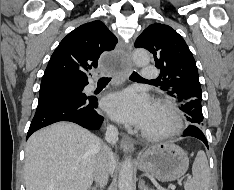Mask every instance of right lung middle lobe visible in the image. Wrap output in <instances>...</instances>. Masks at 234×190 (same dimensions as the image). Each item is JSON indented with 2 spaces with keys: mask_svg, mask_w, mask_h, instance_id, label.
Listing matches in <instances>:
<instances>
[{
  "mask_svg": "<svg viewBox=\"0 0 234 190\" xmlns=\"http://www.w3.org/2000/svg\"><path fill=\"white\" fill-rule=\"evenodd\" d=\"M59 88H75L78 92H82L80 88L71 84L68 80L64 79H49L41 82L39 99L47 93Z\"/></svg>",
  "mask_w": 234,
  "mask_h": 190,
  "instance_id": "dd1d6c3e",
  "label": "right lung middle lobe"
}]
</instances>
